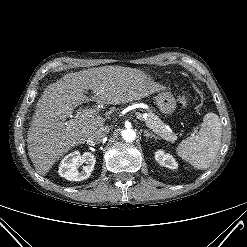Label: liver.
<instances>
[{
	"label": "liver",
	"mask_w": 247,
	"mask_h": 247,
	"mask_svg": "<svg viewBox=\"0 0 247 247\" xmlns=\"http://www.w3.org/2000/svg\"><path fill=\"white\" fill-rule=\"evenodd\" d=\"M163 88L142 71L122 66L69 73L49 85L38 100L27 135L28 155L36 171L46 175L56 160L103 126L105 119L100 116L67 120L77 106L90 100L99 104H126ZM88 89L91 98L85 95Z\"/></svg>",
	"instance_id": "liver-1"
}]
</instances>
